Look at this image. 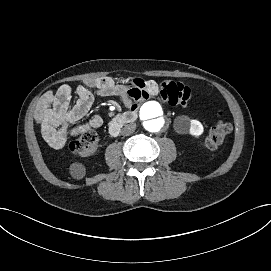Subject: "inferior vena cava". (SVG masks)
<instances>
[{
  "label": "inferior vena cava",
  "mask_w": 271,
  "mask_h": 271,
  "mask_svg": "<svg viewBox=\"0 0 271 271\" xmlns=\"http://www.w3.org/2000/svg\"><path fill=\"white\" fill-rule=\"evenodd\" d=\"M127 128H129V129H130V125H127V126L125 127V129H127Z\"/></svg>",
  "instance_id": "602c4592"
}]
</instances>
